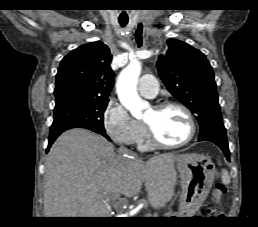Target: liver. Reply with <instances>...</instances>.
<instances>
[{
    "mask_svg": "<svg viewBox=\"0 0 258 227\" xmlns=\"http://www.w3.org/2000/svg\"><path fill=\"white\" fill-rule=\"evenodd\" d=\"M162 154L143 161L117 155L104 137L74 128L64 132L46 158L45 217H108L107 202L135 196L144 182L152 208L172 199L177 179L174 162Z\"/></svg>",
    "mask_w": 258,
    "mask_h": 227,
    "instance_id": "6515ba94",
    "label": "liver"
}]
</instances>
